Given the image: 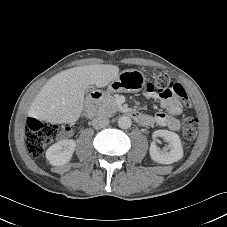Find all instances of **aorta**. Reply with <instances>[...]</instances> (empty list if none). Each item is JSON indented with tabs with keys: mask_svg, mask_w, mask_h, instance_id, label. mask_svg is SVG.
<instances>
[{
	"mask_svg": "<svg viewBox=\"0 0 227 227\" xmlns=\"http://www.w3.org/2000/svg\"><path fill=\"white\" fill-rule=\"evenodd\" d=\"M131 125H132V121H131L130 117H128V116L119 117L118 126L121 129H128L129 127H131Z\"/></svg>",
	"mask_w": 227,
	"mask_h": 227,
	"instance_id": "1",
	"label": "aorta"
}]
</instances>
